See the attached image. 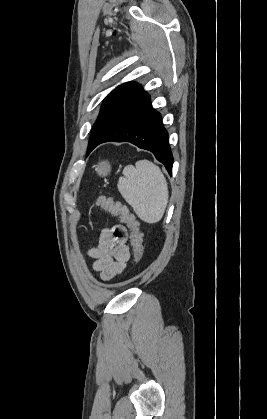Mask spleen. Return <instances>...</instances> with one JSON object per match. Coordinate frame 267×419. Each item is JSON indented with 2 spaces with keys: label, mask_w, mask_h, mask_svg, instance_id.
I'll list each match as a JSON object with an SVG mask.
<instances>
[{
  "label": "spleen",
  "mask_w": 267,
  "mask_h": 419,
  "mask_svg": "<svg viewBox=\"0 0 267 419\" xmlns=\"http://www.w3.org/2000/svg\"><path fill=\"white\" fill-rule=\"evenodd\" d=\"M125 201L146 223L159 222L168 203V184L158 166L149 160H139L123 170L117 184Z\"/></svg>",
  "instance_id": "1"
}]
</instances>
